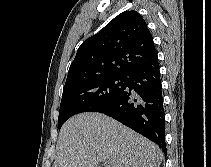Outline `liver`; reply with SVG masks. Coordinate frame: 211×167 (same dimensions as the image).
<instances>
[{
  "label": "liver",
  "instance_id": "6515ba94",
  "mask_svg": "<svg viewBox=\"0 0 211 167\" xmlns=\"http://www.w3.org/2000/svg\"><path fill=\"white\" fill-rule=\"evenodd\" d=\"M162 150L150 140L101 113L70 118L59 133L53 167H159Z\"/></svg>",
  "mask_w": 211,
  "mask_h": 167
}]
</instances>
